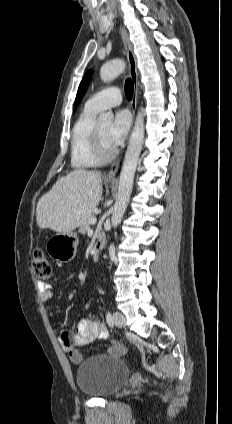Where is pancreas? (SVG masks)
Segmentation results:
<instances>
[{
    "mask_svg": "<svg viewBox=\"0 0 232 424\" xmlns=\"http://www.w3.org/2000/svg\"><path fill=\"white\" fill-rule=\"evenodd\" d=\"M95 217L94 214H91L88 219L85 220V222L80 226L79 232L82 234H85L87 232V230L90 227V219Z\"/></svg>",
    "mask_w": 232,
    "mask_h": 424,
    "instance_id": "obj_1",
    "label": "pancreas"
}]
</instances>
